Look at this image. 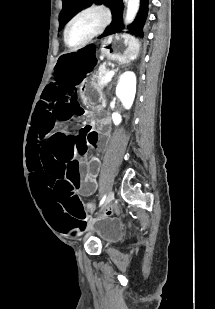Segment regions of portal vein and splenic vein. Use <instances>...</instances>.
<instances>
[{
  "label": "portal vein and splenic vein",
  "mask_w": 215,
  "mask_h": 309,
  "mask_svg": "<svg viewBox=\"0 0 215 309\" xmlns=\"http://www.w3.org/2000/svg\"><path fill=\"white\" fill-rule=\"evenodd\" d=\"M113 74H115L114 70H110V72H107L106 76H104V80H111Z\"/></svg>",
  "instance_id": "1"
}]
</instances>
